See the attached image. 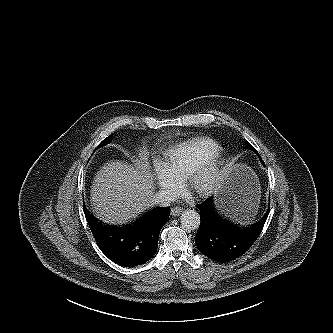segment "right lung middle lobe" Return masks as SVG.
<instances>
[{
	"mask_svg": "<svg viewBox=\"0 0 333 333\" xmlns=\"http://www.w3.org/2000/svg\"><path fill=\"white\" fill-rule=\"evenodd\" d=\"M111 139H112V135H110L109 137H107L106 139H104V140L99 144L98 147H101V146H103V145L109 143V142L111 141ZM98 147H97V148H98Z\"/></svg>",
	"mask_w": 333,
	"mask_h": 333,
	"instance_id": "right-lung-middle-lobe-1",
	"label": "right lung middle lobe"
}]
</instances>
